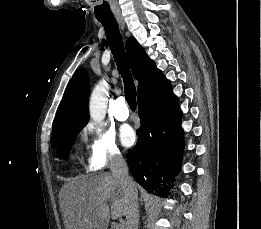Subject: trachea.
I'll return each instance as SVG.
<instances>
[{
	"label": "trachea",
	"mask_w": 261,
	"mask_h": 229,
	"mask_svg": "<svg viewBox=\"0 0 261 229\" xmlns=\"http://www.w3.org/2000/svg\"><path fill=\"white\" fill-rule=\"evenodd\" d=\"M105 30L107 43L113 54L118 70L122 75L125 89V97L131 110L137 107L136 88L128 66L122 35L114 16L96 17Z\"/></svg>",
	"instance_id": "trachea-1"
}]
</instances>
